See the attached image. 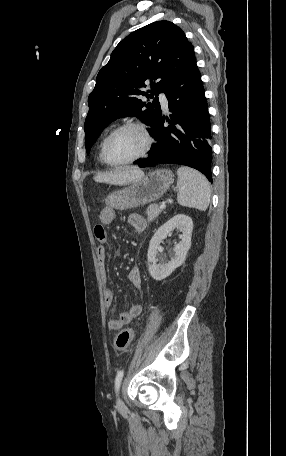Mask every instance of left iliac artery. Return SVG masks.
Wrapping results in <instances>:
<instances>
[{"label": "left iliac artery", "instance_id": "obj_1", "mask_svg": "<svg viewBox=\"0 0 286 456\" xmlns=\"http://www.w3.org/2000/svg\"><path fill=\"white\" fill-rule=\"evenodd\" d=\"M123 376H124V370L118 371L116 378H115V391L116 392L119 391Z\"/></svg>", "mask_w": 286, "mask_h": 456}]
</instances>
